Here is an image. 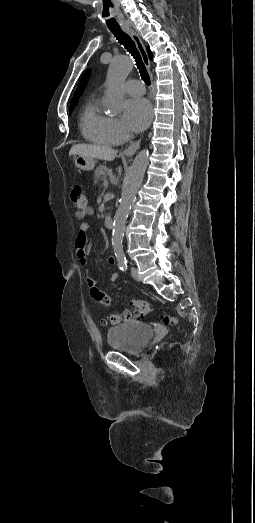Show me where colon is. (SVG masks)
Segmentation results:
<instances>
[{
	"label": "colon",
	"mask_w": 255,
	"mask_h": 523,
	"mask_svg": "<svg viewBox=\"0 0 255 523\" xmlns=\"http://www.w3.org/2000/svg\"><path fill=\"white\" fill-rule=\"evenodd\" d=\"M70 199L73 206L78 211H83L86 209L87 197L79 185L74 186L72 189ZM90 293L92 298L102 305L109 306L112 302L111 297L95 285L90 286ZM129 304L132 307L133 312L124 311L121 314H110L106 318V322L115 325L120 322L129 321L131 319L142 318L145 317L151 310L150 303L145 300L132 299L130 300ZM162 321L165 324L172 325H176L178 323L177 319L170 315H164L162 317Z\"/></svg>",
	"instance_id": "obj_1"
}]
</instances>
